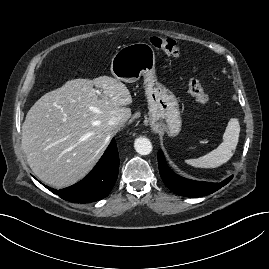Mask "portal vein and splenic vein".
Instances as JSON below:
<instances>
[{
  "label": "portal vein and splenic vein",
  "instance_id": "obj_1",
  "mask_svg": "<svg viewBox=\"0 0 269 269\" xmlns=\"http://www.w3.org/2000/svg\"><path fill=\"white\" fill-rule=\"evenodd\" d=\"M96 93L101 96V92H99V90H96Z\"/></svg>",
  "mask_w": 269,
  "mask_h": 269
}]
</instances>
